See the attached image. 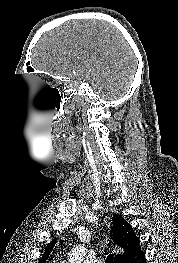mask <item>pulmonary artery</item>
<instances>
[{
    "label": "pulmonary artery",
    "mask_w": 178,
    "mask_h": 263,
    "mask_svg": "<svg viewBox=\"0 0 178 263\" xmlns=\"http://www.w3.org/2000/svg\"><path fill=\"white\" fill-rule=\"evenodd\" d=\"M98 263H102V261H98Z\"/></svg>",
    "instance_id": "e3ab8cb5"
}]
</instances>
